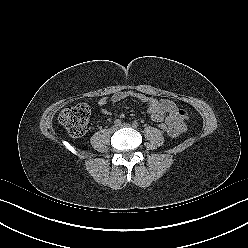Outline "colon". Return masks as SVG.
I'll return each mask as SVG.
<instances>
[{"label":"colon","mask_w":248,"mask_h":248,"mask_svg":"<svg viewBox=\"0 0 248 248\" xmlns=\"http://www.w3.org/2000/svg\"><path fill=\"white\" fill-rule=\"evenodd\" d=\"M90 117V110L85 104H77L64 108L59 115V122L73 137H80L86 132ZM158 127L161 132L170 134L167 123L160 122Z\"/></svg>","instance_id":"colon-1"}]
</instances>
